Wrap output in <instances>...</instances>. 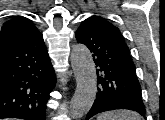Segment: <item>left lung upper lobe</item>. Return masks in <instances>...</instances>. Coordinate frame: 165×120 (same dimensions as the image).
I'll return each instance as SVG.
<instances>
[{
  "label": "left lung upper lobe",
  "mask_w": 165,
  "mask_h": 120,
  "mask_svg": "<svg viewBox=\"0 0 165 120\" xmlns=\"http://www.w3.org/2000/svg\"><path fill=\"white\" fill-rule=\"evenodd\" d=\"M93 18H95L97 20V22L102 26L103 29H105L109 33H112V34L122 38V35H121V32L119 31V29L117 27H115L114 25H112L110 22H108L104 18H101L98 16H93Z\"/></svg>",
  "instance_id": "5c2ea615"
}]
</instances>
